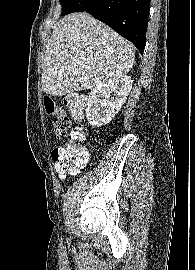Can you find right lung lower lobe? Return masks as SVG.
Instances as JSON below:
<instances>
[{"label":"right lung lower lobe","mask_w":195,"mask_h":270,"mask_svg":"<svg viewBox=\"0 0 195 270\" xmlns=\"http://www.w3.org/2000/svg\"><path fill=\"white\" fill-rule=\"evenodd\" d=\"M150 0H78L71 13L87 12L130 40L143 54Z\"/></svg>","instance_id":"98d812e1"}]
</instances>
